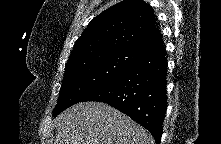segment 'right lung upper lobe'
Segmentation results:
<instances>
[{"instance_id": "cb5924a9", "label": "right lung upper lobe", "mask_w": 221, "mask_h": 144, "mask_svg": "<svg viewBox=\"0 0 221 144\" xmlns=\"http://www.w3.org/2000/svg\"><path fill=\"white\" fill-rule=\"evenodd\" d=\"M161 44L163 39L151 7L142 0H125L91 20L66 64L110 50L143 56Z\"/></svg>"}]
</instances>
